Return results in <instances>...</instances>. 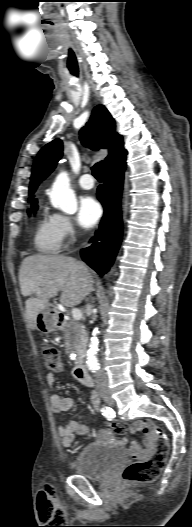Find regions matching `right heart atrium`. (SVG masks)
<instances>
[{"label":"right heart atrium","instance_id":"right-heart-atrium-1","mask_svg":"<svg viewBox=\"0 0 192 527\" xmlns=\"http://www.w3.org/2000/svg\"><path fill=\"white\" fill-rule=\"evenodd\" d=\"M52 218L59 233L61 243L70 241L75 234V228L72 219L67 215L59 213L53 214Z\"/></svg>","mask_w":192,"mask_h":527}]
</instances>
